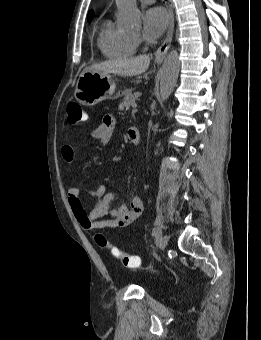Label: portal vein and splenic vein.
<instances>
[{
    "mask_svg": "<svg viewBox=\"0 0 261 340\" xmlns=\"http://www.w3.org/2000/svg\"><path fill=\"white\" fill-rule=\"evenodd\" d=\"M132 112H133V113L138 112L137 105H133V110H132Z\"/></svg>",
    "mask_w": 261,
    "mask_h": 340,
    "instance_id": "18ae733b",
    "label": "portal vein and splenic vein"
}]
</instances>
